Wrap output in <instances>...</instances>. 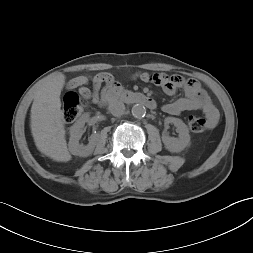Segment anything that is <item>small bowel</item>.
Returning <instances> with one entry per match:
<instances>
[{
    "instance_id": "1",
    "label": "small bowel",
    "mask_w": 253,
    "mask_h": 253,
    "mask_svg": "<svg viewBox=\"0 0 253 253\" xmlns=\"http://www.w3.org/2000/svg\"><path fill=\"white\" fill-rule=\"evenodd\" d=\"M137 78L144 82H154L160 85L163 91L173 96L178 90L184 91V97L168 102L162 110L170 115H179L185 111H202L208 121V129L217 124L219 112L200 83L194 79H186L180 75H167L165 73L151 74L140 72ZM113 76L108 73H99L92 77L79 75L69 81L68 87L77 88L80 94L94 104L99 105L100 91L104 84L113 82ZM91 84V88L88 87Z\"/></svg>"
}]
</instances>
